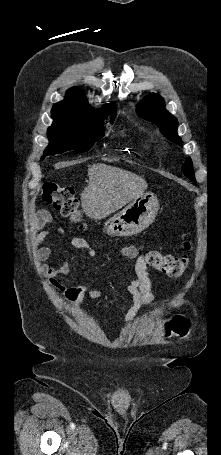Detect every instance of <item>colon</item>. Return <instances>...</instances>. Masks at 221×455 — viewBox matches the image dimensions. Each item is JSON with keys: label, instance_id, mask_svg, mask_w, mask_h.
<instances>
[{"label": "colon", "instance_id": "colon-1", "mask_svg": "<svg viewBox=\"0 0 221 455\" xmlns=\"http://www.w3.org/2000/svg\"><path fill=\"white\" fill-rule=\"evenodd\" d=\"M42 200L62 216L79 223L80 227H84L83 212L72 188L54 182H46L42 189ZM186 246H190L188 240ZM145 258L150 266L171 277L181 275L189 263L188 256L174 257L158 250L149 251ZM189 329L190 322L183 316H175L166 324L167 335L185 336Z\"/></svg>", "mask_w": 221, "mask_h": 455}]
</instances>
